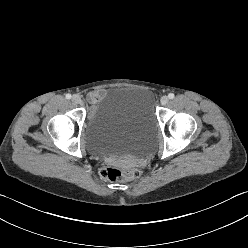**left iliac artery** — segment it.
<instances>
[{
	"label": "left iliac artery",
	"instance_id": "1",
	"mask_svg": "<svg viewBox=\"0 0 248 248\" xmlns=\"http://www.w3.org/2000/svg\"><path fill=\"white\" fill-rule=\"evenodd\" d=\"M174 97H175V95H174L173 93H169V94H168V98H169V99H173Z\"/></svg>",
	"mask_w": 248,
	"mask_h": 248
}]
</instances>
